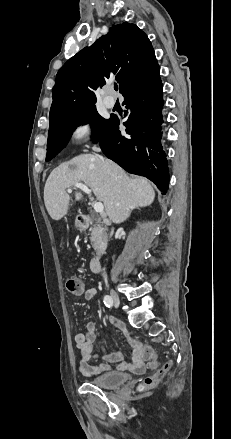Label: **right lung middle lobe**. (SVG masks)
Wrapping results in <instances>:
<instances>
[{
  "label": "right lung middle lobe",
  "mask_w": 231,
  "mask_h": 439,
  "mask_svg": "<svg viewBox=\"0 0 231 439\" xmlns=\"http://www.w3.org/2000/svg\"><path fill=\"white\" fill-rule=\"evenodd\" d=\"M87 123H90L93 129V141L98 142L108 129L110 119L101 117L93 107L51 124L48 132L46 161H50L66 146L78 126Z\"/></svg>",
  "instance_id": "1"
}]
</instances>
